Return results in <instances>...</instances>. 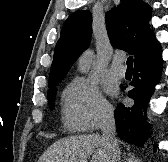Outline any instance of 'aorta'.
<instances>
[{
  "instance_id": "obj_1",
  "label": "aorta",
  "mask_w": 168,
  "mask_h": 162,
  "mask_svg": "<svg viewBox=\"0 0 168 162\" xmlns=\"http://www.w3.org/2000/svg\"><path fill=\"white\" fill-rule=\"evenodd\" d=\"M94 60V52L91 49H88L87 51H85L82 56L80 57L79 60V70L82 73L87 72Z\"/></svg>"
}]
</instances>
